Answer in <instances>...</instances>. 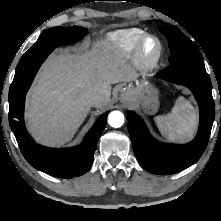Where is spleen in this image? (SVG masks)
I'll return each mask as SVG.
<instances>
[{"label": "spleen", "instance_id": "spleen-1", "mask_svg": "<svg viewBox=\"0 0 221 221\" xmlns=\"http://www.w3.org/2000/svg\"><path fill=\"white\" fill-rule=\"evenodd\" d=\"M154 121L161 135L167 140L184 142L193 137L198 116L192 104L184 97H179L170 114L156 116Z\"/></svg>", "mask_w": 221, "mask_h": 221}]
</instances>
